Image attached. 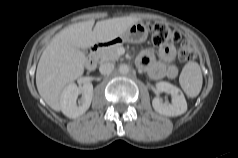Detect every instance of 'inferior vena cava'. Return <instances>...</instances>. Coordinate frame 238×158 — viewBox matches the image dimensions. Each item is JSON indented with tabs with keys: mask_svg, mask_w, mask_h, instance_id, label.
<instances>
[{
	"mask_svg": "<svg viewBox=\"0 0 238 158\" xmlns=\"http://www.w3.org/2000/svg\"><path fill=\"white\" fill-rule=\"evenodd\" d=\"M113 69H114V64L110 62L102 63L99 67V71L103 75L110 74L113 71Z\"/></svg>",
	"mask_w": 238,
	"mask_h": 158,
	"instance_id": "602c4592",
	"label": "inferior vena cava"
}]
</instances>
